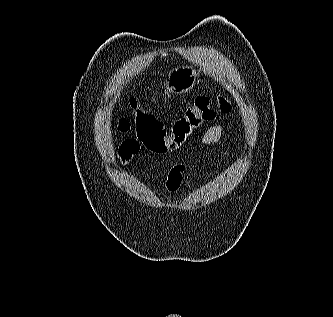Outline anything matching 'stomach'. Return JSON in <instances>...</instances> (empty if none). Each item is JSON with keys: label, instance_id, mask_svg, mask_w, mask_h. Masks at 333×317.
I'll use <instances>...</instances> for the list:
<instances>
[{"label": "stomach", "instance_id": "1", "mask_svg": "<svg viewBox=\"0 0 333 317\" xmlns=\"http://www.w3.org/2000/svg\"><path fill=\"white\" fill-rule=\"evenodd\" d=\"M196 78V71L192 67H178L169 73V77L166 80V88L171 93L183 94L193 88Z\"/></svg>", "mask_w": 333, "mask_h": 317}]
</instances>
